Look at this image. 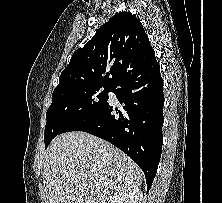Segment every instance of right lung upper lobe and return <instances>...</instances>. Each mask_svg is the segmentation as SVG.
Segmentation results:
<instances>
[{"instance_id": "1", "label": "right lung upper lobe", "mask_w": 222, "mask_h": 203, "mask_svg": "<svg viewBox=\"0 0 222 203\" xmlns=\"http://www.w3.org/2000/svg\"><path fill=\"white\" fill-rule=\"evenodd\" d=\"M153 60L155 52L142 23L130 12H119L74 52L54 92L84 85L112 86L123 75Z\"/></svg>"}]
</instances>
